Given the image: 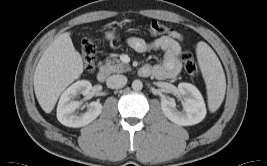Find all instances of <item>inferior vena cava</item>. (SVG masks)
I'll return each instance as SVG.
<instances>
[{
	"mask_svg": "<svg viewBox=\"0 0 267 166\" xmlns=\"http://www.w3.org/2000/svg\"><path fill=\"white\" fill-rule=\"evenodd\" d=\"M127 77L124 75H112L107 78L106 84L109 88L119 89L126 85Z\"/></svg>",
	"mask_w": 267,
	"mask_h": 166,
	"instance_id": "obj_1",
	"label": "inferior vena cava"
}]
</instances>
